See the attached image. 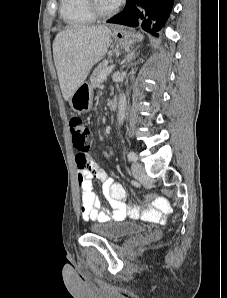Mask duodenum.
<instances>
[{
    "instance_id": "duodenum-1",
    "label": "duodenum",
    "mask_w": 227,
    "mask_h": 298,
    "mask_svg": "<svg viewBox=\"0 0 227 298\" xmlns=\"http://www.w3.org/2000/svg\"><path fill=\"white\" fill-rule=\"evenodd\" d=\"M117 107H118V102L116 99H113L111 102H110V110L112 112L116 111L117 110Z\"/></svg>"
}]
</instances>
